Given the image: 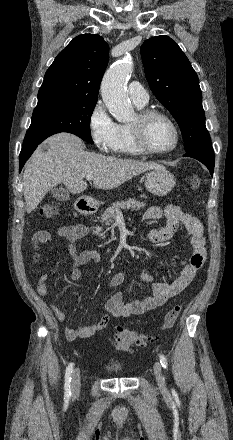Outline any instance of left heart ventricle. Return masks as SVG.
<instances>
[{"mask_svg":"<svg viewBox=\"0 0 233 440\" xmlns=\"http://www.w3.org/2000/svg\"><path fill=\"white\" fill-rule=\"evenodd\" d=\"M137 116L130 124H135ZM146 139L150 147L165 150L174 143V132L170 124L160 117L151 119L146 126Z\"/></svg>","mask_w":233,"mask_h":440,"instance_id":"left-heart-ventricle-1","label":"left heart ventricle"}]
</instances>
